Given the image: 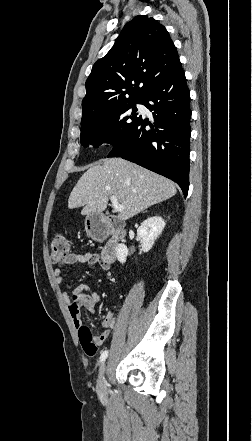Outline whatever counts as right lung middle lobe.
<instances>
[{"mask_svg":"<svg viewBox=\"0 0 252 441\" xmlns=\"http://www.w3.org/2000/svg\"><path fill=\"white\" fill-rule=\"evenodd\" d=\"M136 104H141V100L103 111L81 123V144L84 147L103 143L115 146L122 141L141 119L137 116Z\"/></svg>","mask_w":252,"mask_h":441,"instance_id":"dd1d6c3e","label":"right lung middle lobe"}]
</instances>
